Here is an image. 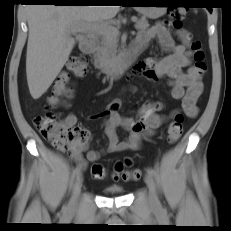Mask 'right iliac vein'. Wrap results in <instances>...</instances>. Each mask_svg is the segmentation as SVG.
<instances>
[{"instance_id": "63e3f726", "label": "right iliac vein", "mask_w": 231, "mask_h": 231, "mask_svg": "<svg viewBox=\"0 0 231 231\" xmlns=\"http://www.w3.org/2000/svg\"><path fill=\"white\" fill-rule=\"evenodd\" d=\"M82 183H83V178L81 175H79L77 179L75 180V183L73 186L72 197L68 204V209L70 211H73L76 207V204H77L80 192H81Z\"/></svg>"}]
</instances>
